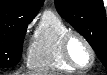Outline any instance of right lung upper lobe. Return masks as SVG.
<instances>
[{"mask_svg": "<svg viewBox=\"0 0 107 75\" xmlns=\"http://www.w3.org/2000/svg\"><path fill=\"white\" fill-rule=\"evenodd\" d=\"M43 2V0H0V30L14 23H30Z\"/></svg>", "mask_w": 107, "mask_h": 75, "instance_id": "cb5924a9", "label": "right lung upper lobe"}]
</instances>
